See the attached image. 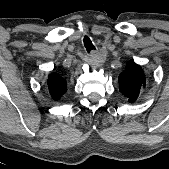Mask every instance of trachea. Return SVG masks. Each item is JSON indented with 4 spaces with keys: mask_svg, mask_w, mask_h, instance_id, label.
<instances>
[{
    "mask_svg": "<svg viewBox=\"0 0 169 169\" xmlns=\"http://www.w3.org/2000/svg\"><path fill=\"white\" fill-rule=\"evenodd\" d=\"M84 46L86 48V51L90 53L92 50L95 49V46L93 45L91 39L88 36H85L83 39Z\"/></svg>",
    "mask_w": 169,
    "mask_h": 169,
    "instance_id": "1",
    "label": "trachea"
}]
</instances>
